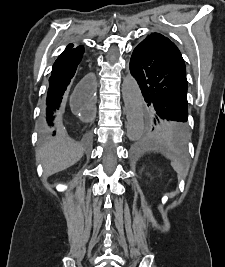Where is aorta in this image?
<instances>
[{
	"label": "aorta",
	"mask_w": 225,
	"mask_h": 267,
	"mask_svg": "<svg viewBox=\"0 0 225 267\" xmlns=\"http://www.w3.org/2000/svg\"><path fill=\"white\" fill-rule=\"evenodd\" d=\"M122 95L126 109L127 135L134 141L140 138L144 128V100L136 80L131 75L123 79Z\"/></svg>",
	"instance_id": "1"
}]
</instances>
